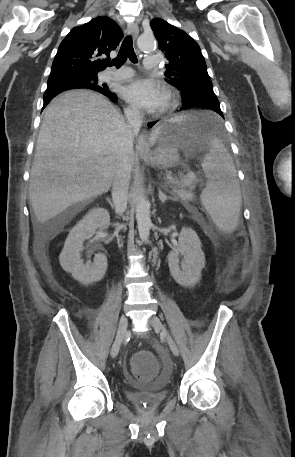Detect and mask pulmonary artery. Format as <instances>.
<instances>
[{"mask_svg":"<svg viewBox=\"0 0 295 457\" xmlns=\"http://www.w3.org/2000/svg\"><path fill=\"white\" fill-rule=\"evenodd\" d=\"M158 66V58L156 56H147L144 59V67L148 70L155 69ZM133 71L130 68H122L117 71H107L101 75L103 81H123L132 77Z\"/></svg>","mask_w":295,"mask_h":457,"instance_id":"1","label":"pulmonary artery"}]
</instances>
